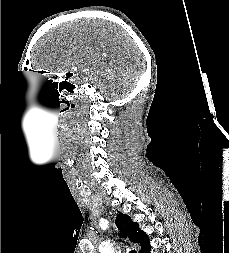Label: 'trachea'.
I'll return each instance as SVG.
<instances>
[{
  "instance_id": "1",
  "label": "trachea",
  "mask_w": 229,
  "mask_h": 253,
  "mask_svg": "<svg viewBox=\"0 0 229 253\" xmlns=\"http://www.w3.org/2000/svg\"><path fill=\"white\" fill-rule=\"evenodd\" d=\"M130 253H136V251H135V250H132V251H130Z\"/></svg>"
}]
</instances>
